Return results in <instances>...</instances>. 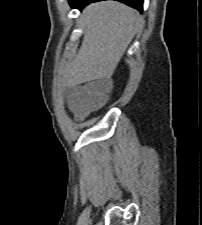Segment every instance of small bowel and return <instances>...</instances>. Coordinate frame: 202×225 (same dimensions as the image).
I'll list each match as a JSON object with an SVG mask.
<instances>
[{"instance_id": "obj_1", "label": "small bowel", "mask_w": 202, "mask_h": 225, "mask_svg": "<svg viewBox=\"0 0 202 225\" xmlns=\"http://www.w3.org/2000/svg\"><path fill=\"white\" fill-rule=\"evenodd\" d=\"M98 84L112 86L114 81L108 77L102 78ZM71 103L74 106L80 107L83 112L90 111V104H89V95L87 92L83 91L82 89H78L72 97Z\"/></svg>"}]
</instances>
